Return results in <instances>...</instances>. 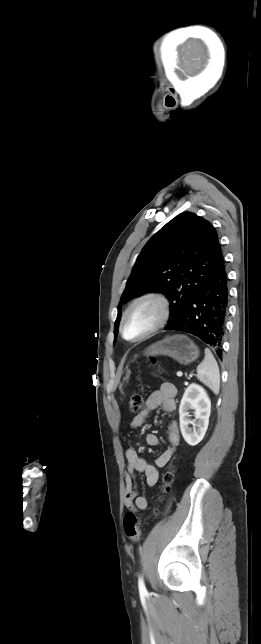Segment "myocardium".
Here are the masks:
<instances>
[{
	"mask_svg": "<svg viewBox=\"0 0 261 644\" xmlns=\"http://www.w3.org/2000/svg\"><path fill=\"white\" fill-rule=\"evenodd\" d=\"M142 302H152V303H154L158 307V310H159L158 318H157L156 322L153 324V326L150 329H148L145 333L140 335L139 337L133 338V339L127 338L126 335H125V326H126L127 318L129 316L131 310L136 305H138V304H140ZM170 316H171V303H170V300L167 297V295H165L163 292L155 291V290L144 292V293L136 296L129 303L127 308L125 309V311H124V313L122 315V318H121V322H120L121 336L123 337L124 340H126L128 342H131V343L141 342V341L149 338L150 336H152L154 333H156L161 328H163L167 324Z\"/></svg>",
	"mask_w": 261,
	"mask_h": 644,
	"instance_id": "obj_1",
	"label": "myocardium"
}]
</instances>
